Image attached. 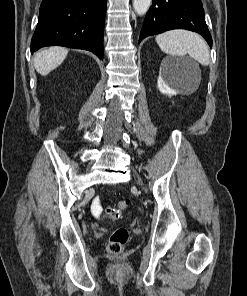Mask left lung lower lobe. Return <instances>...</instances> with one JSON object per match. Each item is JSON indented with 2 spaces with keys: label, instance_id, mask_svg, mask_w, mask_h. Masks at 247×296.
Instances as JSON below:
<instances>
[{
  "label": "left lung lower lobe",
  "instance_id": "1",
  "mask_svg": "<svg viewBox=\"0 0 247 296\" xmlns=\"http://www.w3.org/2000/svg\"><path fill=\"white\" fill-rule=\"evenodd\" d=\"M171 29L195 31L212 47L201 0H153L144 19L139 43L147 36Z\"/></svg>",
  "mask_w": 247,
  "mask_h": 296
}]
</instances>
